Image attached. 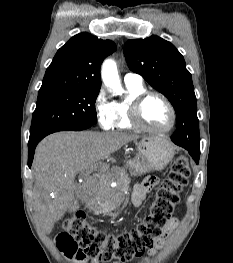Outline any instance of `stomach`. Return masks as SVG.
<instances>
[{"label": "stomach", "mask_w": 233, "mask_h": 263, "mask_svg": "<svg viewBox=\"0 0 233 263\" xmlns=\"http://www.w3.org/2000/svg\"><path fill=\"white\" fill-rule=\"evenodd\" d=\"M136 145L137 156L128 164L132 175L161 170L174 156L171 143L160 136L143 137Z\"/></svg>", "instance_id": "obj_1"}]
</instances>
